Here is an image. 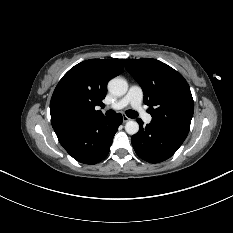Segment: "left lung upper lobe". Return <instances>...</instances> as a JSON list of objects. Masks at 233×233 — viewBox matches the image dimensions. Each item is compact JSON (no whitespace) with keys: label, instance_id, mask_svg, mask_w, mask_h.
Segmentation results:
<instances>
[{"label":"left lung upper lobe","instance_id":"obj_1","mask_svg":"<svg viewBox=\"0 0 233 233\" xmlns=\"http://www.w3.org/2000/svg\"><path fill=\"white\" fill-rule=\"evenodd\" d=\"M122 62L141 86L152 120L189 131L194 104L183 76L156 59H122Z\"/></svg>","mask_w":233,"mask_h":233}]
</instances>
